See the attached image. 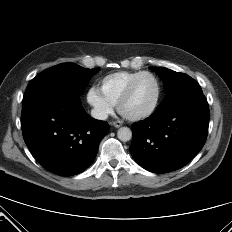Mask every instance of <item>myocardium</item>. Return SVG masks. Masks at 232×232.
I'll list each match as a JSON object with an SVG mask.
<instances>
[{"label":"myocardium","instance_id":"1","mask_svg":"<svg viewBox=\"0 0 232 232\" xmlns=\"http://www.w3.org/2000/svg\"><path fill=\"white\" fill-rule=\"evenodd\" d=\"M143 76H150L151 78L154 79L157 85V94H156L155 101L148 110L140 114H137V115H127L123 112L122 107L125 104V102L131 97L137 81ZM161 97H162V85H161L159 78L155 74L149 71H142L130 81V83L128 84L127 88L125 89L124 93L122 94V96L120 97L117 103V108H118V111L127 119L132 120V121H138V120H142V119H145L151 116L156 111V109L158 108L160 104Z\"/></svg>","mask_w":232,"mask_h":232}]
</instances>
